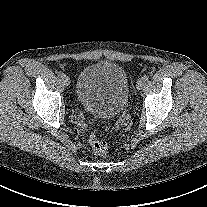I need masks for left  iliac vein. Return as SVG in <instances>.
Instances as JSON below:
<instances>
[{"instance_id": "obj_1", "label": "left iliac vein", "mask_w": 207, "mask_h": 207, "mask_svg": "<svg viewBox=\"0 0 207 207\" xmlns=\"http://www.w3.org/2000/svg\"><path fill=\"white\" fill-rule=\"evenodd\" d=\"M144 84H145V81L142 78H140L136 83V88L138 90H141L144 87Z\"/></svg>"}]
</instances>
